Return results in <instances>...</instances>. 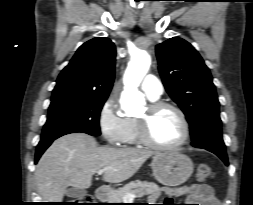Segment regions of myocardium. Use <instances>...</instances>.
Instances as JSON below:
<instances>
[{
	"mask_svg": "<svg viewBox=\"0 0 253 205\" xmlns=\"http://www.w3.org/2000/svg\"><path fill=\"white\" fill-rule=\"evenodd\" d=\"M165 109H170L174 111L180 118L183 128H184V134L182 139L174 144V145H161L157 143L151 135L150 131V125L152 119L161 111ZM137 121V130H138V137L139 140L142 144L145 146L155 149V150H161V151H171V150H176L183 145H185L189 138H190V124L187 119L186 114L184 111L178 107L177 105L165 101H155L152 102L148 107H147V113L143 117H139L136 119Z\"/></svg>",
	"mask_w": 253,
	"mask_h": 205,
	"instance_id": "f54148a6",
	"label": "myocardium"
}]
</instances>
